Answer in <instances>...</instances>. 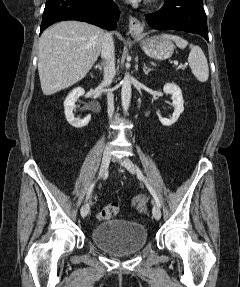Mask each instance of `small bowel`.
<instances>
[{
	"instance_id": "1",
	"label": "small bowel",
	"mask_w": 240,
	"mask_h": 287,
	"mask_svg": "<svg viewBox=\"0 0 240 287\" xmlns=\"http://www.w3.org/2000/svg\"><path fill=\"white\" fill-rule=\"evenodd\" d=\"M133 203L138 210L144 211L147 204V197L143 194L136 195L133 198Z\"/></svg>"
}]
</instances>
